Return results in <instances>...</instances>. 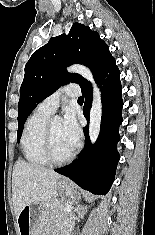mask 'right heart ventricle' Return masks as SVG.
<instances>
[{"label":"right heart ventricle","instance_id":"obj_1","mask_svg":"<svg viewBox=\"0 0 155 235\" xmlns=\"http://www.w3.org/2000/svg\"><path fill=\"white\" fill-rule=\"evenodd\" d=\"M49 116V113L37 108L25 123L21 150L25 160L32 165L43 166L48 163L43 154V135Z\"/></svg>","mask_w":155,"mask_h":235}]
</instances>
